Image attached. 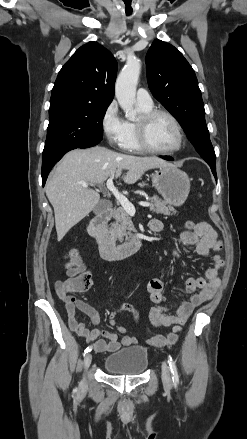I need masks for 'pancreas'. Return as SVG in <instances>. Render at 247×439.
<instances>
[{
  "label": "pancreas",
  "mask_w": 247,
  "mask_h": 439,
  "mask_svg": "<svg viewBox=\"0 0 247 439\" xmlns=\"http://www.w3.org/2000/svg\"><path fill=\"white\" fill-rule=\"evenodd\" d=\"M150 202V210L156 214L170 216L177 213L171 205H167V203L161 200L158 196L151 197ZM132 232H136V229L133 226L129 214L123 207L117 208L114 213V222L111 223L108 234L111 236L112 240L122 242L124 237L126 239L131 238L133 236Z\"/></svg>",
  "instance_id": "cf45deb5"
}]
</instances>
